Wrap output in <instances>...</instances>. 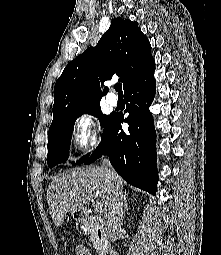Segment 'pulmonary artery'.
I'll use <instances>...</instances> for the list:
<instances>
[{"mask_svg":"<svg viewBox=\"0 0 221 255\" xmlns=\"http://www.w3.org/2000/svg\"><path fill=\"white\" fill-rule=\"evenodd\" d=\"M106 100H107V102H108L110 105H112V106H115V105H117V103H118V98H117V96H116L115 94H113V93L107 94Z\"/></svg>","mask_w":221,"mask_h":255,"instance_id":"e3ab8cb5","label":"pulmonary artery"}]
</instances>
